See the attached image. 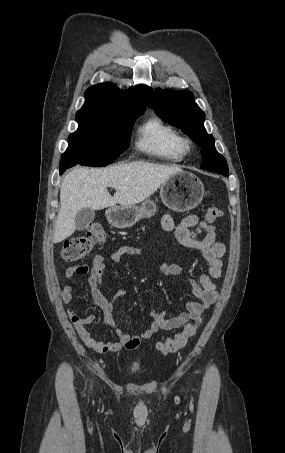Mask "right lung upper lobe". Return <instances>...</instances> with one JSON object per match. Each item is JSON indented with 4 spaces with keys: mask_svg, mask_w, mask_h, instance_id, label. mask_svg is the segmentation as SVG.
<instances>
[{
    "mask_svg": "<svg viewBox=\"0 0 285 453\" xmlns=\"http://www.w3.org/2000/svg\"><path fill=\"white\" fill-rule=\"evenodd\" d=\"M152 89L138 85L123 92L111 83L94 85L85 92V104L81 109L118 113L144 111Z\"/></svg>",
    "mask_w": 285,
    "mask_h": 453,
    "instance_id": "cb5924a9",
    "label": "right lung upper lobe"
}]
</instances>
